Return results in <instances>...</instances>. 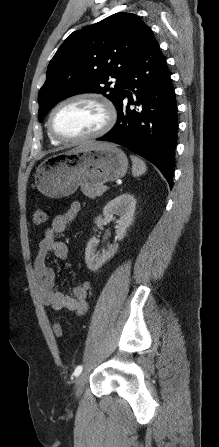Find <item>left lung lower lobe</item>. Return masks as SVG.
<instances>
[{
  "mask_svg": "<svg viewBox=\"0 0 219 447\" xmlns=\"http://www.w3.org/2000/svg\"><path fill=\"white\" fill-rule=\"evenodd\" d=\"M171 73L152 35L132 63L116 125L97 140L120 144L153 163L172 188L178 116ZM133 91L137 97L134 101ZM130 105L141 108L131 109Z\"/></svg>",
  "mask_w": 219,
  "mask_h": 447,
  "instance_id": "0a47b994",
  "label": "left lung lower lobe"
}]
</instances>
